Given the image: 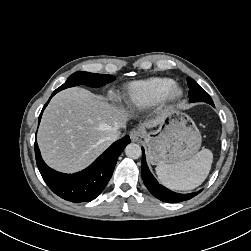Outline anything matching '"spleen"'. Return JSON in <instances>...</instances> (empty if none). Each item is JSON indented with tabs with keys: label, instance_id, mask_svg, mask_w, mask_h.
Returning <instances> with one entry per match:
<instances>
[{
	"label": "spleen",
	"instance_id": "1",
	"mask_svg": "<svg viewBox=\"0 0 251 251\" xmlns=\"http://www.w3.org/2000/svg\"><path fill=\"white\" fill-rule=\"evenodd\" d=\"M213 154L209 149H202L189 160L176 164H159L156 174L166 187L174 190H192L207 178Z\"/></svg>",
	"mask_w": 251,
	"mask_h": 251
}]
</instances>
